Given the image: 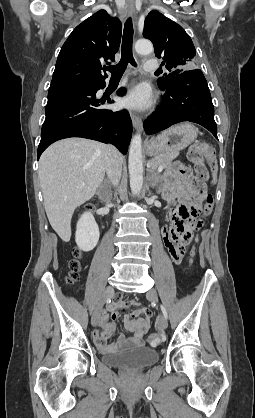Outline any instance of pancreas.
Instances as JSON below:
<instances>
[{
  "instance_id": "cf45deb5",
  "label": "pancreas",
  "mask_w": 255,
  "mask_h": 418,
  "mask_svg": "<svg viewBox=\"0 0 255 418\" xmlns=\"http://www.w3.org/2000/svg\"><path fill=\"white\" fill-rule=\"evenodd\" d=\"M179 155V152L169 153V154H162L156 156L150 160L151 166L156 169L159 166H163L164 168L168 167L172 161Z\"/></svg>"
}]
</instances>
